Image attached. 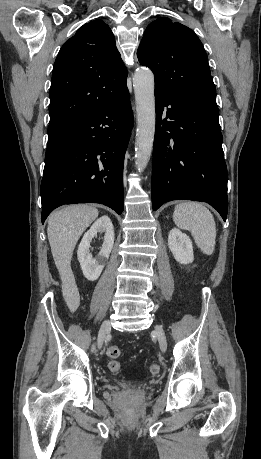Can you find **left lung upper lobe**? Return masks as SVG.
<instances>
[{
    "mask_svg": "<svg viewBox=\"0 0 261 459\" xmlns=\"http://www.w3.org/2000/svg\"><path fill=\"white\" fill-rule=\"evenodd\" d=\"M137 57L153 71L156 90L187 102L217 106L208 57L190 28L158 18L146 28Z\"/></svg>",
    "mask_w": 261,
    "mask_h": 459,
    "instance_id": "left-lung-upper-lobe-1",
    "label": "left lung upper lobe"
}]
</instances>
